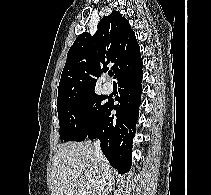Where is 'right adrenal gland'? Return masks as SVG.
I'll return each mask as SVG.
<instances>
[{
	"instance_id": "1",
	"label": "right adrenal gland",
	"mask_w": 211,
	"mask_h": 195,
	"mask_svg": "<svg viewBox=\"0 0 211 195\" xmlns=\"http://www.w3.org/2000/svg\"><path fill=\"white\" fill-rule=\"evenodd\" d=\"M114 190V183H109L104 191V195H109V192Z\"/></svg>"
}]
</instances>
